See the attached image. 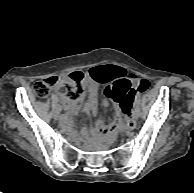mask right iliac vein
<instances>
[{
  "mask_svg": "<svg viewBox=\"0 0 194 193\" xmlns=\"http://www.w3.org/2000/svg\"><path fill=\"white\" fill-rule=\"evenodd\" d=\"M58 120H59V121H62V118H61V117H59V118H58Z\"/></svg>",
  "mask_w": 194,
  "mask_h": 193,
  "instance_id": "obj_1",
  "label": "right iliac vein"
}]
</instances>
